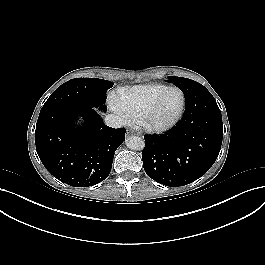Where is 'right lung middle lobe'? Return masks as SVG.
<instances>
[{
  "label": "right lung middle lobe",
  "instance_id": "dd1d6c3e",
  "mask_svg": "<svg viewBox=\"0 0 265 265\" xmlns=\"http://www.w3.org/2000/svg\"><path fill=\"white\" fill-rule=\"evenodd\" d=\"M111 81L97 78L71 79L59 86L47 99L42 108L55 105H72L83 108L99 107L106 110V91Z\"/></svg>",
  "mask_w": 265,
  "mask_h": 265
}]
</instances>
